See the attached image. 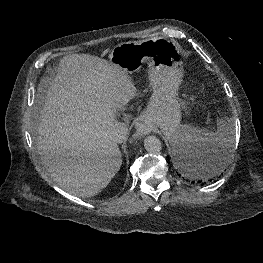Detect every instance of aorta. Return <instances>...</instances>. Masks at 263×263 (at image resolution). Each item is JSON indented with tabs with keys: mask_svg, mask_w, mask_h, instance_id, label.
Instances as JSON below:
<instances>
[{
	"mask_svg": "<svg viewBox=\"0 0 263 263\" xmlns=\"http://www.w3.org/2000/svg\"><path fill=\"white\" fill-rule=\"evenodd\" d=\"M144 147L149 153H158L162 149V144L156 136H148L144 140Z\"/></svg>",
	"mask_w": 263,
	"mask_h": 263,
	"instance_id": "obj_1",
	"label": "aorta"
}]
</instances>
